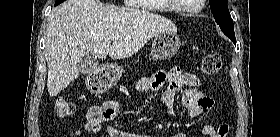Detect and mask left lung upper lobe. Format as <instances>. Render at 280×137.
I'll return each instance as SVG.
<instances>
[{
	"label": "left lung upper lobe",
	"mask_w": 280,
	"mask_h": 137,
	"mask_svg": "<svg viewBox=\"0 0 280 137\" xmlns=\"http://www.w3.org/2000/svg\"><path fill=\"white\" fill-rule=\"evenodd\" d=\"M211 12L222 32L236 44L234 25L227 6V0H209Z\"/></svg>",
	"instance_id": "left-lung-upper-lobe-1"
}]
</instances>
